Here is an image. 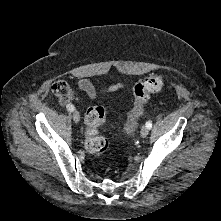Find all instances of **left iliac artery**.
I'll list each match as a JSON object with an SVG mask.
<instances>
[{
  "instance_id": "44dca946",
  "label": "left iliac artery",
  "mask_w": 221,
  "mask_h": 221,
  "mask_svg": "<svg viewBox=\"0 0 221 221\" xmlns=\"http://www.w3.org/2000/svg\"><path fill=\"white\" fill-rule=\"evenodd\" d=\"M146 127L150 130L152 128V121H148Z\"/></svg>"
}]
</instances>
